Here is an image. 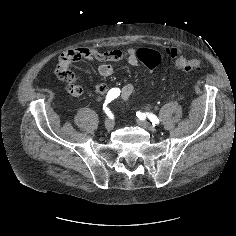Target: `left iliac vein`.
<instances>
[{
	"mask_svg": "<svg viewBox=\"0 0 236 236\" xmlns=\"http://www.w3.org/2000/svg\"><path fill=\"white\" fill-rule=\"evenodd\" d=\"M137 124L148 131L156 132V128L145 120H137Z\"/></svg>",
	"mask_w": 236,
	"mask_h": 236,
	"instance_id": "1",
	"label": "left iliac vein"
}]
</instances>
